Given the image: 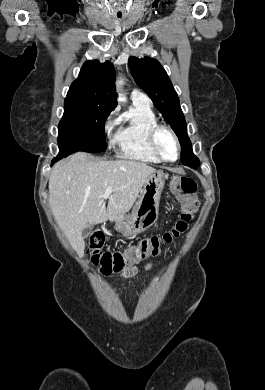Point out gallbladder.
<instances>
[{
	"mask_svg": "<svg viewBox=\"0 0 265 390\" xmlns=\"http://www.w3.org/2000/svg\"><path fill=\"white\" fill-rule=\"evenodd\" d=\"M91 234V226L89 224H87L83 230H82V236L84 238L88 237L89 235Z\"/></svg>",
	"mask_w": 265,
	"mask_h": 390,
	"instance_id": "obj_1",
	"label": "gallbladder"
}]
</instances>
